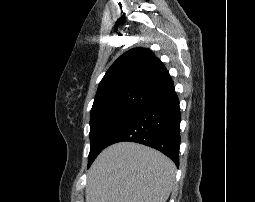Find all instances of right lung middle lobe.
I'll use <instances>...</instances> for the list:
<instances>
[{
    "instance_id": "1",
    "label": "right lung middle lobe",
    "mask_w": 255,
    "mask_h": 202,
    "mask_svg": "<svg viewBox=\"0 0 255 202\" xmlns=\"http://www.w3.org/2000/svg\"><path fill=\"white\" fill-rule=\"evenodd\" d=\"M137 112L132 109H119L91 116L88 167L97 155L107 147L111 137Z\"/></svg>"
}]
</instances>
